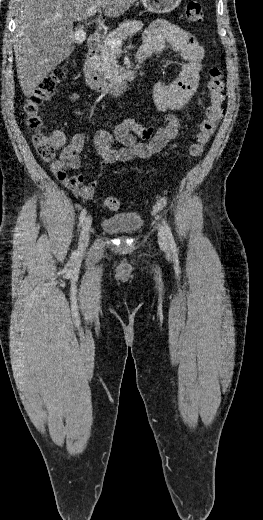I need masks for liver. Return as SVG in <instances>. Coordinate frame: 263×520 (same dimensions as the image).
<instances>
[{"label": "liver", "mask_w": 263, "mask_h": 520, "mask_svg": "<svg viewBox=\"0 0 263 520\" xmlns=\"http://www.w3.org/2000/svg\"><path fill=\"white\" fill-rule=\"evenodd\" d=\"M137 0H19L14 43L20 86L25 96L73 51L74 21L87 19L93 6L116 18Z\"/></svg>", "instance_id": "liver-1"}]
</instances>
